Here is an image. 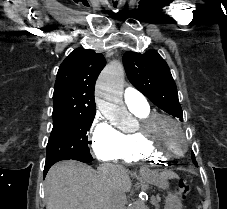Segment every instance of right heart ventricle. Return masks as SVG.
Wrapping results in <instances>:
<instances>
[{
    "mask_svg": "<svg viewBox=\"0 0 227 209\" xmlns=\"http://www.w3.org/2000/svg\"><path fill=\"white\" fill-rule=\"evenodd\" d=\"M134 115L139 119L147 117L151 111L149 107L132 109ZM115 160L127 165L157 164L165 159L149 152L137 137L136 132L122 133V146Z\"/></svg>",
    "mask_w": 227,
    "mask_h": 209,
    "instance_id": "1",
    "label": "right heart ventricle"
}]
</instances>
